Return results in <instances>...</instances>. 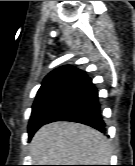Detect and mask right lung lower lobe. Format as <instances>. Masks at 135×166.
Returning a JSON list of instances; mask_svg holds the SVG:
<instances>
[{
	"mask_svg": "<svg viewBox=\"0 0 135 166\" xmlns=\"http://www.w3.org/2000/svg\"><path fill=\"white\" fill-rule=\"evenodd\" d=\"M67 88L72 95V100L68 109L53 121L78 122L104 133L106 124L101 114L98 92L91 78L86 77L80 82L69 85Z\"/></svg>",
	"mask_w": 135,
	"mask_h": 166,
	"instance_id": "right-lung-lower-lobe-1",
	"label": "right lung lower lobe"
}]
</instances>
